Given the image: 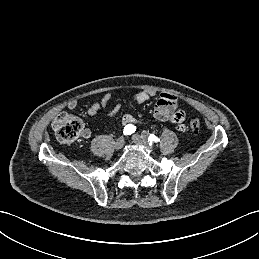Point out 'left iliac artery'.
I'll use <instances>...</instances> for the list:
<instances>
[{"label":"left iliac artery","instance_id":"1","mask_svg":"<svg viewBox=\"0 0 259 259\" xmlns=\"http://www.w3.org/2000/svg\"><path fill=\"white\" fill-rule=\"evenodd\" d=\"M159 141L160 139L153 134H150L148 137V142L150 145H152L153 142H159Z\"/></svg>","mask_w":259,"mask_h":259}]
</instances>
